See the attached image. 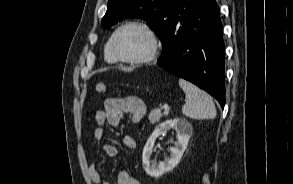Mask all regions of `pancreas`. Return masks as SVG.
Masks as SVG:
<instances>
[{"label": "pancreas", "instance_id": "obj_1", "mask_svg": "<svg viewBox=\"0 0 293 184\" xmlns=\"http://www.w3.org/2000/svg\"><path fill=\"white\" fill-rule=\"evenodd\" d=\"M168 115L167 112L161 113L160 109H153L149 114L150 123L154 124L160 121L161 117Z\"/></svg>", "mask_w": 293, "mask_h": 184}]
</instances>
